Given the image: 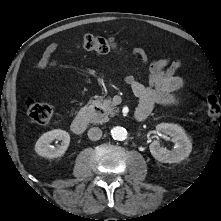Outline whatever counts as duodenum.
Returning <instances> with one entry per match:
<instances>
[{
    "label": "duodenum",
    "mask_w": 221,
    "mask_h": 221,
    "mask_svg": "<svg viewBox=\"0 0 221 221\" xmlns=\"http://www.w3.org/2000/svg\"><path fill=\"white\" fill-rule=\"evenodd\" d=\"M147 117V113L144 111H136L134 114V119L137 122H142ZM87 128V110L83 109L78 116L74 119L71 129L77 134H83Z\"/></svg>",
    "instance_id": "1"
}]
</instances>
